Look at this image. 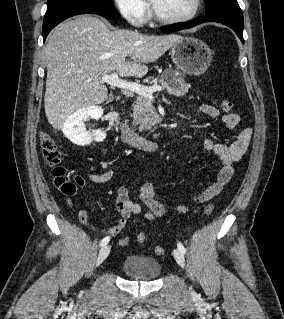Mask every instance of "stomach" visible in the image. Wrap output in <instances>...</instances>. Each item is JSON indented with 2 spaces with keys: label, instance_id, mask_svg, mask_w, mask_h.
I'll return each mask as SVG.
<instances>
[{
  "label": "stomach",
  "instance_id": "obj_1",
  "mask_svg": "<svg viewBox=\"0 0 284 319\" xmlns=\"http://www.w3.org/2000/svg\"><path fill=\"white\" fill-rule=\"evenodd\" d=\"M171 57L175 65L188 75L203 74L212 61V51L202 40L194 37H182L171 48Z\"/></svg>",
  "mask_w": 284,
  "mask_h": 319
}]
</instances>
